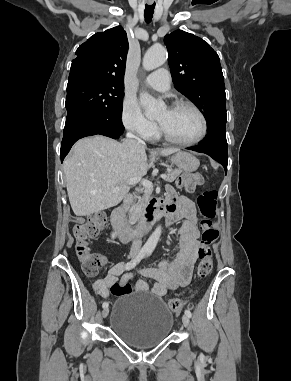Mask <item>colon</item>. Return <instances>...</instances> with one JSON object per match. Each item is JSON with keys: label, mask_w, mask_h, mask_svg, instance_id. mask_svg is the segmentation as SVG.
Instances as JSON below:
<instances>
[{"label": "colon", "mask_w": 291, "mask_h": 381, "mask_svg": "<svg viewBox=\"0 0 291 381\" xmlns=\"http://www.w3.org/2000/svg\"><path fill=\"white\" fill-rule=\"evenodd\" d=\"M202 184V179L194 174H186L180 179V186L186 191H193ZM197 204L202 216L200 222L201 244L198 248L199 262L197 265V275L200 278L207 277L213 268V246L219 238V230L213 224L217 209V192L208 190L202 192L197 198ZM107 216L104 213H97L89 216L85 222L79 223L73 228L75 238V250L81 262L84 273L88 276H95L105 265L103 256L92 252L91 241L99 235L105 228ZM133 291L128 283H114L111 286V293L115 296H122ZM168 306L171 311L178 313L182 310L184 303L180 299H170Z\"/></svg>", "instance_id": "colon-1"}]
</instances>
